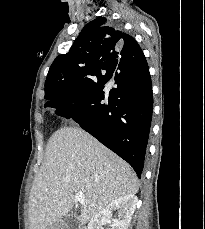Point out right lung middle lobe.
Segmentation results:
<instances>
[{"label": "right lung middle lobe", "mask_w": 205, "mask_h": 229, "mask_svg": "<svg viewBox=\"0 0 205 229\" xmlns=\"http://www.w3.org/2000/svg\"><path fill=\"white\" fill-rule=\"evenodd\" d=\"M110 78L111 77H109V76L96 77L90 84H88V85H81L79 87V90L76 93H74V94L80 93V92H82L84 90L93 88L95 86H104L109 81ZM74 94H72V95H74ZM68 98L69 97L65 98V100L68 99Z\"/></svg>", "instance_id": "1"}]
</instances>
